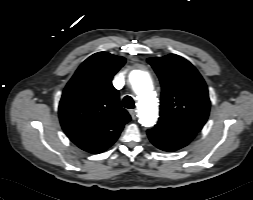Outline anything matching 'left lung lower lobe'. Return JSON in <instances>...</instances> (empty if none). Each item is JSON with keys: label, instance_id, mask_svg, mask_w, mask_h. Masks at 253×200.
Returning a JSON list of instances; mask_svg holds the SVG:
<instances>
[{"label": "left lung lower lobe", "instance_id": "1", "mask_svg": "<svg viewBox=\"0 0 253 200\" xmlns=\"http://www.w3.org/2000/svg\"><path fill=\"white\" fill-rule=\"evenodd\" d=\"M150 141L163 151L173 152L188 145L196 136V133L157 124L147 131Z\"/></svg>", "mask_w": 253, "mask_h": 200}]
</instances>
